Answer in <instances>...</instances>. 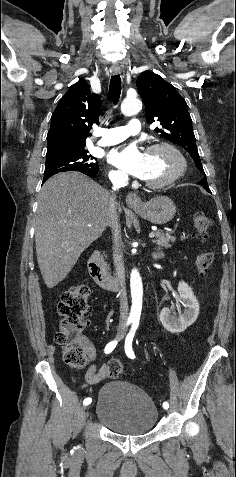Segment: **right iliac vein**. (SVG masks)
<instances>
[{
    "mask_svg": "<svg viewBox=\"0 0 236 477\" xmlns=\"http://www.w3.org/2000/svg\"><path fill=\"white\" fill-rule=\"evenodd\" d=\"M93 406H94V405L92 404V405H90L88 408H87V407L84 408V410H83V411H84V413H83V416H84V417H89V418L92 417L93 414H92V410H91V409H92Z\"/></svg>",
    "mask_w": 236,
    "mask_h": 477,
    "instance_id": "1",
    "label": "right iliac vein"
}]
</instances>
